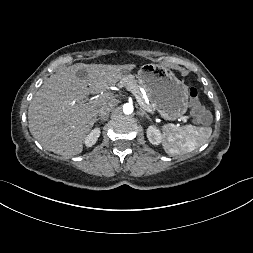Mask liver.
<instances>
[{
    "label": "liver",
    "mask_w": 253,
    "mask_h": 253,
    "mask_svg": "<svg viewBox=\"0 0 253 253\" xmlns=\"http://www.w3.org/2000/svg\"><path fill=\"white\" fill-rule=\"evenodd\" d=\"M135 65L77 63L63 67L45 80L28 108L32 136L48 151L63 156L82 152L85 138L96 122L99 108L87 102L89 94L107 93Z\"/></svg>",
    "instance_id": "6515ba94"
}]
</instances>
